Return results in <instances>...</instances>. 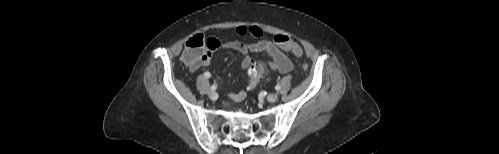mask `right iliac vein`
Segmentation results:
<instances>
[{
  "label": "right iliac vein",
  "instance_id": "1",
  "mask_svg": "<svg viewBox=\"0 0 499 154\" xmlns=\"http://www.w3.org/2000/svg\"><path fill=\"white\" fill-rule=\"evenodd\" d=\"M208 96L211 100H217L218 98V94L215 91L209 92Z\"/></svg>",
  "mask_w": 499,
  "mask_h": 154
}]
</instances>
